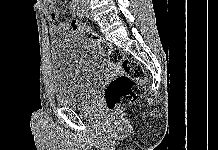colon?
Returning a JSON list of instances; mask_svg holds the SVG:
<instances>
[{
    "mask_svg": "<svg viewBox=\"0 0 218 150\" xmlns=\"http://www.w3.org/2000/svg\"><path fill=\"white\" fill-rule=\"evenodd\" d=\"M70 26L73 31L86 36L112 63L121 69V74L114 77L105 88L104 98L107 109L115 112L139 99L144 93L145 72L143 67L138 62L125 57L120 49L113 47L86 25L74 20Z\"/></svg>",
    "mask_w": 218,
    "mask_h": 150,
    "instance_id": "colon-1",
    "label": "colon"
}]
</instances>
